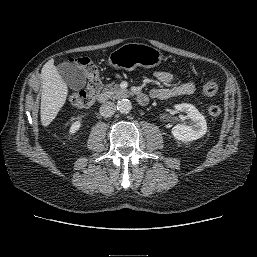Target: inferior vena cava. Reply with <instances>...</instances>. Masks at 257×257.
<instances>
[{
  "instance_id": "obj_1",
  "label": "inferior vena cava",
  "mask_w": 257,
  "mask_h": 257,
  "mask_svg": "<svg viewBox=\"0 0 257 257\" xmlns=\"http://www.w3.org/2000/svg\"><path fill=\"white\" fill-rule=\"evenodd\" d=\"M116 111V105L113 102H105L100 107V114L103 117H111Z\"/></svg>"
}]
</instances>
